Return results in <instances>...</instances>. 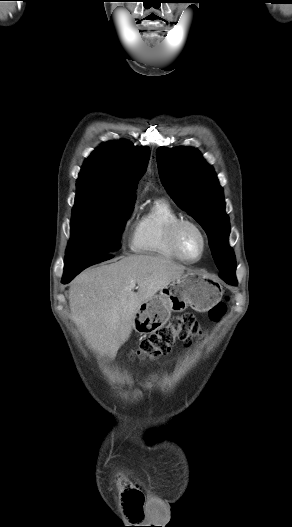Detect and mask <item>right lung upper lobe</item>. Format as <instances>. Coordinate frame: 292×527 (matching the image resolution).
Masks as SVG:
<instances>
[{"label": "right lung upper lobe", "mask_w": 292, "mask_h": 527, "mask_svg": "<svg viewBox=\"0 0 292 527\" xmlns=\"http://www.w3.org/2000/svg\"><path fill=\"white\" fill-rule=\"evenodd\" d=\"M149 157L148 147H135L126 140L103 143L85 160L77 191L96 192L112 201H134Z\"/></svg>", "instance_id": "obj_1"}]
</instances>
